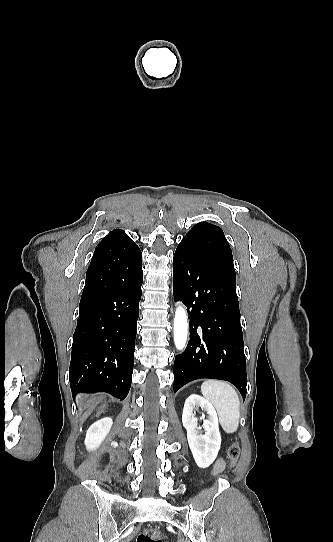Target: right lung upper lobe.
Segmentation results:
<instances>
[{"label":"right lung upper lobe","mask_w":333,"mask_h":542,"mask_svg":"<svg viewBox=\"0 0 333 542\" xmlns=\"http://www.w3.org/2000/svg\"><path fill=\"white\" fill-rule=\"evenodd\" d=\"M130 238L125 234L123 230L116 229L110 232L99 244L96 248L101 247H109L113 246L117 243H122L124 241L129 240Z\"/></svg>","instance_id":"obj_1"}]
</instances>
